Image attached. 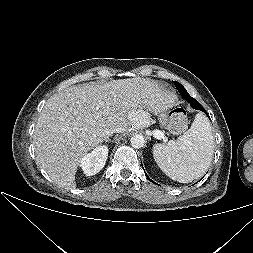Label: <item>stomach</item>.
Wrapping results in <instances>:
<instances>
[{
    "instance_id": "stomach-1",
    "label": "stomach",
    "mask_w": 253,
    "mask_h": 253,
    "mask_svg": "<svg viewBox=\"0 0 253 253\" xmlns=\"http://www.w3.org/2000/svg\"><path fill=\"white\" fill-rule=\"evenodd\" d=\"M169 124L167 109L159 113V128L165 129Z\"/></svg>"
}]
</instances>
